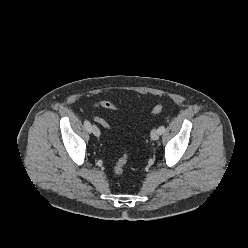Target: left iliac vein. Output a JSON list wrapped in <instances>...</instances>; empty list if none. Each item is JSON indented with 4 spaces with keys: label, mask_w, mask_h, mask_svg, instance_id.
Instances as JSON below:
<instances>
[{
    "label": "left iliac vein",
    "mask_w": 248,
    "mask_h": 248,
    "mask_svg": "<svg viewBox=\"0 0 248 248\" xmlns=\"http://www.w3.org/2000/svg\"><path fill=\"white\" fill-rule=\"evenodd\" d=\"M159 135H160V133H159V130H158V129L154 128V129L151 131V139H152V140H158Z\"/></svg>",
    "instance_id": "left-iliac-vein-1"
}]
</instances>
